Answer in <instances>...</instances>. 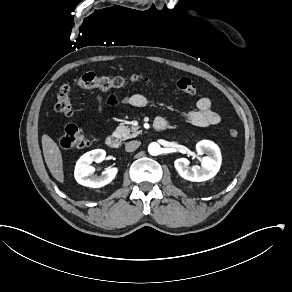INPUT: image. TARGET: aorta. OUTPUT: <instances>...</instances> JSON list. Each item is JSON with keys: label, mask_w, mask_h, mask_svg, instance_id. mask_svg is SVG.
<instances>
[{"label": "aorta", "mask_w": 292, "mask_h": 292, "mask_svg": "<svg viewBox=\"0 0 292 292\" xmlns=\"http://www.w3.org/2000/svg\"><path fill=\"white\" fill-rule=\"evenodd\" d=\"M149 154L152 156H158L161 153V147L158 143H151L148 147Z\"/></svg>", "instance_id": "762f6f07"}]
</instances>
